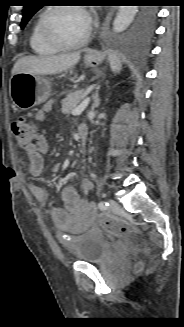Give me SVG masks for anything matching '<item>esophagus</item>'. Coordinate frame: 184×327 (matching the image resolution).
<instances>
[{
  "label": "esophagus",
  "mask_w": 184,
  "mask_h": 327,
  "mask_svg": "<svg viewBox=\"0 0 184 327\" xmlns=\"http://www.w3.org/2000/svg\"><path fill=\"white\" fill-rule=\"evenodd\" d=\"M110 19H111V13H109L103 23V26H102V30H101V33H100V37L102 38L105 34V32L107 31L108 29V26H109V23H110ZM96 52H91V54H95Z\"/></svg>",
  "instance_id": "1"
}]
</instances>
